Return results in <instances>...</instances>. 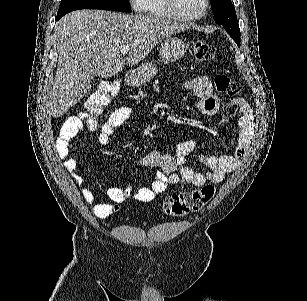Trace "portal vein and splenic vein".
Segmentation results:
<instances>
[{
    "label": "portal vein and splenic vein",
    "instance_id": "1",
    "mask_svg": "<svg viewBox=\"0 0 307 301\" xmlns=\"http://www.w3.org/2000/svg\"><path fill=\"white\" fill-rule=\"evenodd\" d=\"M129 50H130L129 46H123V48H121L122 54H128Z\"/></svg>",
    "mask_w": 307,
    "mask_h": 301
}]
</instances>
